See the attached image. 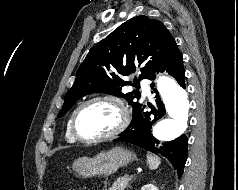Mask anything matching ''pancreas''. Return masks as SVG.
<instances>
[{
    "mask_svg": "<svg viewBox=\"0 0 238 190\" xmlns=\"http://www.w3.org/2000/svg\"><path fill=\"white\" fill-rule=\"evenodd\" d=\"M129 177L118 178L108 190H125L129 186Z\"/></svg>",
    "mask_w": 238,
    "mask_h": 190,
    "instance_id": "1",
    "label": "pancreas"
}]
</instances>
